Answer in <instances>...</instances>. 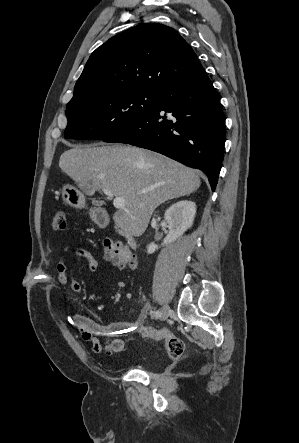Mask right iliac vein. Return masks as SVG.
Segmentation results:
<instances>
[{"mask_svg":"<svg viewBox=\"0 0 299 443\" xmlns=\"http://www.w3.org/2000/svg\"><path fill=\"white\" fill-rule=\"evenodd\" d=\"M169 314H170V308L168 306H164L162 309V314L159 317L160 320H162V321L166 320L168 318Z\"/></svg>","mask_w":299,"mask_h":443,"instance_id":"63e3f726","label":"right iliac vein"}]
</instances>
